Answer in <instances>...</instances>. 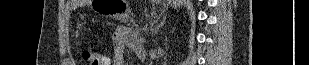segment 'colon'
<instances>
[{"instance_id": "obj_1", "label": "colon", "mask_w": 309, "mask_h": 65, "mask_svg": "<svg viewBox=\"0 0 309 65\" xmlns=\"http://www.w3.org/2000/svg\"><path fill=\"white\" fill-rule=\"evenodd\" d=\"M83 58L88 65H104L106 63L105 56L91 48L83 51Z\"/></svg>"}]
</instances>
